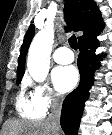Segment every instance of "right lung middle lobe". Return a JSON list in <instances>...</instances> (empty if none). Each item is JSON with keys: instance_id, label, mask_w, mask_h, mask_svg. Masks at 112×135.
<instances>
[{"instance_id": "1", "label": "right lung middle lobe", "mask_w": 112, "mask_h": 135, "mask_svg": "<svg viewBox=\"0 0 112 135\" xmlns=\"http://www.w3.org/2000/svg\"><path fill=\"white\" fill-rule=\"evenodd\" d=\"M21 82V78H17V84Z\"/></svg>"}]
</instances>
